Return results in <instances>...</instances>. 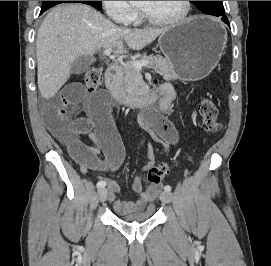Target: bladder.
Returning <instances> with one entry per match:
<instances>
[{"label": "bladder", "instance_id": "obj_1", "mask_svg": "<svg viewBox=\"0 0 271 266\" xmlns=\"http://www.w3.org/2000/svg\"><path fill=\"white\" fill-rule=\"evenodd\" d=\"M154 216V208L150 207L146 211L138 212L133 215H116L122 221L125 222H144L150 220Z\"/></svg>", "mask_w": 271, "mask_h": 266}]
</instances>
